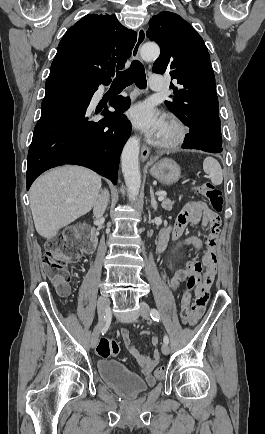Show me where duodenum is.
<instances>
[{"label":"duodenum","instance_id":"1","mask_svg":"<svg viewBox=\"0 0 265 434\" xmlns=\"http://www.w3.org/2000/svg\"><path fill=\"white\" fill-rule=\"evenodd\" d=\"M92 229H97V228H92ZM166 245L162 240H159L157 246H156V254L160 255L164 249H165Z\"/></svg>","mask_w":265,"mask_h":434}]
</instances>
